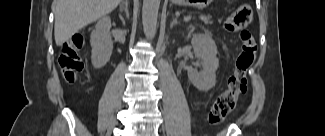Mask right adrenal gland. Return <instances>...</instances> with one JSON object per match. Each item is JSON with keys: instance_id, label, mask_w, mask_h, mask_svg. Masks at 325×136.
<instances>
[{"instance_id": "obj_1", "label": "right adrenal gland", "mask_w": 325, "mask_h": 136, "mask_svg": "<svg viewBox=\"0 0 325 136\" xmlns=\"http://www.w3.org/2000/svg\"><path fill=\"white\" fill-rule=\"evenodd\" d=\"M128 0H123L122 3L120 4V12H125L126 17L129 19V11H128ZM119 17L122 19L121 14Z\"/></svg>"}]
</instances>
